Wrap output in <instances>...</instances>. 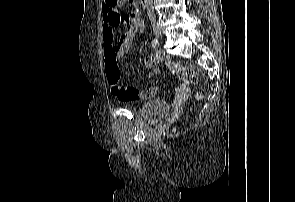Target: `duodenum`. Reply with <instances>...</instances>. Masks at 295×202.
<instances>
[{"instance_id":"1","label":"duodenum","mask_w":295,"mask_h":202,"mask_svg":"<svg viewBox=\"0 0 295 202\" xmlns=\"http://www.w3.org/2000/svg\"><path fill=\"white\" fill-rule=\"evenodd\" d=\"M139 3L143 8H146L148 4V0H139Z\"/></svg>"}]
</instances>
